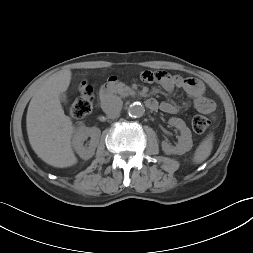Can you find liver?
Segmentation results:
<instances>
[{
    "mask_svg": "<svg viewBox=\"0 0 253 253\" xmlns=\"http://www.w3.org/2000/svg\"><path fill=\"white\" fill-rule=\"evenodd\" d=\"M71 76L70 70L51 75L33 95L26 116L32 149L44 162L57 168L77 163L71 145L75 127L59 100L60 94L68 89Z\"/></svg>",
    "mask_w": 253,
    "mask_h": 253,
    "instance_id": "liver-1",
    "label": "liver"
}]
</instances>
